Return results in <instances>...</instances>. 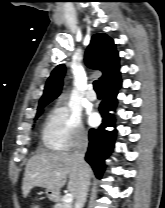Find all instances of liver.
<instances>
[{"label":"liver","instance_id":"liver-1","mask_svg":"<svg viewBox=\"0 0 165 208\" xmlns=\"http://www.w3.org/2000/svg\"><path fill=\"white\" fill-rule=\"evenodd\" d=\"M88 174L90 179L93 172L89 165ZM67 177H69L68 191L76 198L80 189V177L72 155L38 152L29 159L26 165L22 184L23 197H27L31 189L36 186L59 193Z\"/></svg>","mask_w":165,"mask_h":208}]
</instances>
